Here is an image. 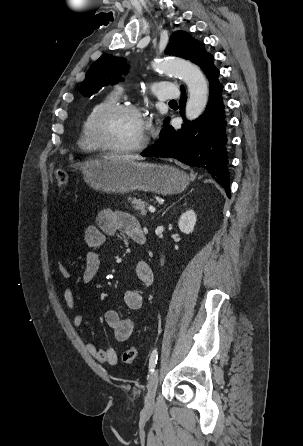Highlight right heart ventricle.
Here are the masks:
<instances>
[{
  "label": "right heart ventricle",
  "instance_id": "obj_1",
  "mask_svg": "<svg viewBox=\"0 0 303 446\" xmlns=\"http://www.w3.org/2000/svg\"><path fill=\"white\" fill-rule=\"evenodd\" d=\"M117 102V96L114 93L108 94L98 100L87 113L81 127L78 138V146L85 151H97L100 148L93 142L90 135V124L95 113L103 106L109 103Z\"/></svg>",
  "mask_w": 303,
  "mask_h": 446
}]
</instances>
